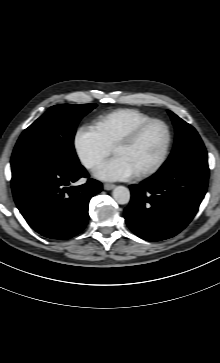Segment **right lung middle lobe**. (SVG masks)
Masks as SVG:
<instances>
[{
	"label": "right lung middle lobe",
	"mask_w": 220,
	"mask_h": 363,
	"mask_svg": "<svg viewBox=\"0 0 220 363\" xmlns=\"http://www.w3.org/2000/svg\"><path fill=\"white\" fill-rule=\"evenodd\" d=\"M95 107L96 104H60L49 108L21 134L11 158L12 173L38 163L78 167L73 146L76 127Z\"/></svg>",
	"instance_id": "obj_1"
}]
</instances>
